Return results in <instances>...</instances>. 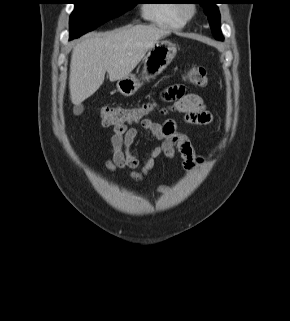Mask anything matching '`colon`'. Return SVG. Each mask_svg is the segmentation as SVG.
Returning <instances> with one entry per match:
<instances>
[{
    "label": "colon",
    "instance_id": "colon-1",
    "mask_svg": "<svg viewBox=\"0 0 290 321\" xmlns=\"http://www.w3.org/2000/svg\"><path fill=\"white\" fill-rule=\"evenodd\" d=\"M186 79L201 88L209 86V78L203 67L191 66L186 71ZM152 103L138 107L106 106L100 110L101 123L104 126H121L135 124L153 110Z\"/></svg>",
    "mask_w": 290,
    "mask_h": 321
}]
</instances>
